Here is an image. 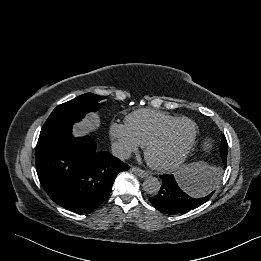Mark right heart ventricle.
Listing matches in <instances>:
<instances>
[{"instance_id":"right-heart-ventricle-1","label":"right heart ventricle","mask_w":261,"mask_h":261,"mask_svg":"<svg viewBox=\"0 0 261 261\" xmlns=\"http://www.w3.org/2000/svg\"><path fill=\"white\" fill-rule=\"evenodd\" d=\"M175 118L162 111L140 109L126 116L125 125L139 145L144 146L156 131Z\"/></svg>"}]
</instances>
